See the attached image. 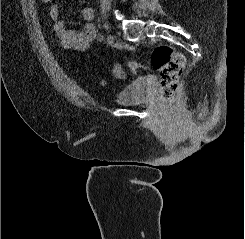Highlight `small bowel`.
I'll use <instances>...</instances> for the list:
<instances>
[{
	"mask_svg": "<svg viewBox=\"0 0 245 239\" xmlns=\"http://www.w3.org/2000/svg\"><path fill=\"white\" fill-rule=\"evenodd\" d=\"M49 16L53 21V31L57 44L68 51H88L96 38V29L91 21L94 18V10L85 5L81 9V16L87 23L82 31L66 29L65 20L60 16L59 6L55 3L49 9Z\"/></svg>",
	"mask_w": 245,
	"mask_h": 239,
	"instance_id": "1",
	"label": "small bowel"
}]
</instances>
